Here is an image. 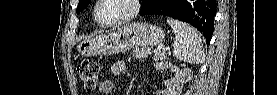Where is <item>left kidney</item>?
<instances>
[{"label": "left kidney", "mask_w": 277, "mask_h": 95, "mask_svg": "<svg viewBox=\"0 0 277 95\" xmlns=\"http://www.w3.org/2000/svg\"><path fill=\"white\" fill-rule=\"evenodd\" d=\"M171 71L175 73V77L173 79L165 80L166 91L168 93L176 92L180 90L182 84L188 79L190 73L188 70H179L176 66H170Z\"/></svg>", "instance_id": "obj_1"}]
</instances>
